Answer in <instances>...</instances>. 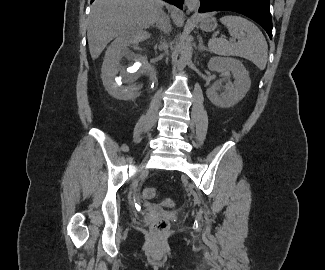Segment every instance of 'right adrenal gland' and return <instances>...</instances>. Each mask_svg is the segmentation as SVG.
Returning a JSON list of instances; mask_svg holds the SVG:
<instances>
[{
	"label": "right adrenal gland",
	"mask_w": 325,
	"mask_h": 270,
	"mask_svg": "<svg viewBox=\"0 0 325 270\" xmlns=\"http://www.w3.org/2000/svg\"><path fill=\"white\" fill-rule=\"evenodd\" d=\"M153 27L158 28L161 32L167 33V21L164 15H161Z\"/></svg>",
	"instance_id": "2a0ac1e0"
}]
</instances>
